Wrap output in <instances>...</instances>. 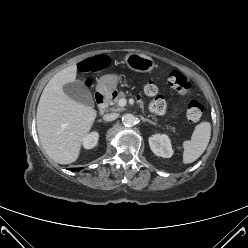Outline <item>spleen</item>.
Masks as SVG:
<instances>
[{
	"label": "spleen",
	"instance_id": "obj_1",
	"mask_svg": "<svg viewBox=\"0 0 248 248\" xmlns=\"http://www.w3.org/2000/svg\"><path fill=\"white\" fill-rule=\"evenodd\" d=\"M211 137V125L207 121L199 123L191 136V140L183 143V163L197 160L206 150Z\"/></svg>",
	"mask_w": 248,
	"mask_h": 248
}]
</instances>
